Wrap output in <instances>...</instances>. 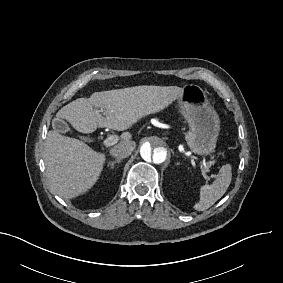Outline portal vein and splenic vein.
Here are the masks:
<instances>
[{
	"mask_svg": "<svg viewBox=\"0 0 283 283\" xmlns=\"http://www.w3.org/2000/svg\"><path fill=\"white\" fill-rule=\"evenodd\" d=\"M117 142V137L116 136H110L106 139L102 140V144L106 147H110L113 146L115 143ZM200 176H202L204 178L205 183H210L211 180L216 179V174H211V176H209V174L205 171V170H200L199 172Z\"/></svg>",
	"mask_w": 283,
	"mask_h": 283,
	"instance_id": "obj_1",
	"label": "portal vein and splenic vein"
}]
</instances>
